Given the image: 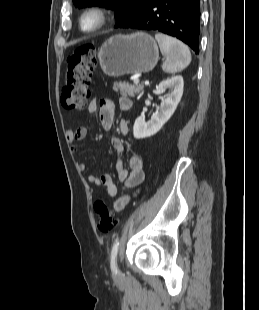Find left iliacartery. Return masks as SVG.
Here are the masks:
<instances>
[{
	"instance_id": "1",
	"label": "left iliac artery",
	"mask_w": 259,
	"mask_h": 310,
	"mask_svg": "<svg viewBox=\"0 0 259 310\" xmlns=\"http://www.w3.org/2000/svg\"><path fill=\"white\" fill-rule=\"evenodd\" d=\"M118 249H119V241H115L112 250H111V268L113 271L117 272V266H116V258H117V254H118Z\"/></svg>"
}]
</instances>
